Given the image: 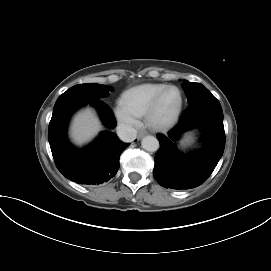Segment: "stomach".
<instances>
[{"label":"stomach","mask_w":271,"mask_h":271,"mask_svg":"<svg viewBox=\"0 0 271 271\" xmlns=\"http://www.w3.org/2000/svg\"><path fill=\"white\" fill-rule=\"evenodd\" d=\"M192 138L190 135H187L184 137V139L181 141V145L186 146L191 142Z\"/></svg>","instance_id":"0dacf381"}]
</instances>
